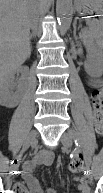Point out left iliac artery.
<instances>
[{
	"instance_id": "1",
	"label": "left iliac artery",
	"mask_w": 103,
	"mask_h": 193,
	"mask_svg": "<svg viewBox=\"0 0 103 193\" xmlns=\"http://www.w3.org/2000/svg\"><path fill=\"white\" fill-rule=\"evenodd\" d=\"M70 134H71V137L74 139L75 145H76L77 147H79V148H82L86 165H87V166H90V164H91V156H90V153L88 152V150H87L85 147H83V146L81 145V142H80V140H79L76 132L71 131Z\"/></svg>"
}]
</instances>
